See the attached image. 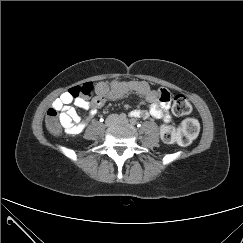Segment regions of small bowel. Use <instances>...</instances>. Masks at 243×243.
Listing matches in <instances>:
<instances>
[{
    "label": "small bowel",
    "instance_id": "c3829d8e",
    "mask_svg": "<svg viewBox=\"0 0 243 243\" xmlns=\"http://www.w3.org/2000/svg\"><path fill=\"white\" fill-rule=\"evenodd\" d=\"M166 89H153L147 82L134 80H112L109 89L106 92L96 91L95 97L91 101H87L80 97H73L69 91L60 95L52 104L59 112V119L65 133L69 135H77L81 133L97 110L101 108L107 100L120 99L128 93L135 92L145 98L150 103L148 111L134 109L130 112L131 117L147 118L149 116L161 119L165 124L172 121L170 115V93L165 100L160 98L161 92ZM168 92V90H166ZM90 109L89 115L82 120L75 107Z\"/></svg>",
    "mask_w": 243,
    "mask_h": 243
}]
</instances>
